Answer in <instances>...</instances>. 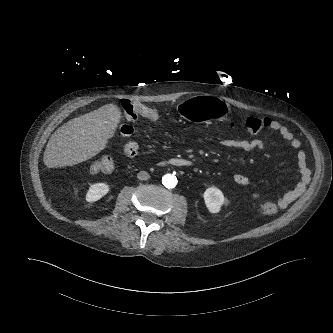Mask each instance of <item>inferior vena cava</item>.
<instances>
[{"label":"inferior vena cava","mask_w":333,"mask_h":333,"mask_svg":"<svg viewBox=\"0 0 333 333\" xmlns=\"http://www.w3.org/2000/svg\"><path fill=\"white\" fill-rule=\"evenodd\" d=\"M137 178L139 180H148L150 178V175L146 171H140L137 174Z\"/></svg>","instance_id":"602c4592"}]
</instances>
